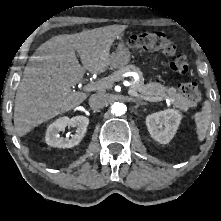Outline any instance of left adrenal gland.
Masks as SVG:
<instances>
[{
    "instance_id": "left-adrenal-gland-1",
    "label": "left adrenal gland",
    "mask_w": 221,
    "mask_h": 221,
    "mask_svg": "<svg viewBox=\"0 0 221 221\" xmlns=\"http://www.w3.org/2000/svg\"><path fill=\"white\" fill-rule=\"evenodd\" d=\"M139 105H145V103H138L137 106H139Z\"/></svg>"
}]
</instances>
